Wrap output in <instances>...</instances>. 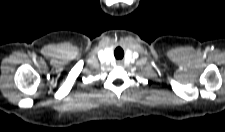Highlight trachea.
<instances>
[{
  "label": "trachea",
  "mask_w": 225,
  "mask_h": 132,
  "mask_svg": "<svg viewBox=\"0 0 225 132\" xmlns=\"http://www.w3.org/2000/svg\"><path fill=\"white\" fill-rule=\"evenodd\" d=\"M115 57H117V58H122L123 57V55H124V52H123V50L120 48V47H118L116 50H115ZM118 54H119V56H118Z\"/></svg>",
  "instance_id": "trachea-1"
}]
</instances>
